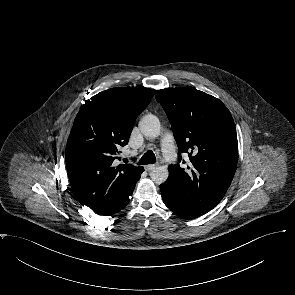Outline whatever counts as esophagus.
Masks as SVG:
<instances>
[{"label": "esophagus", "instance_id": "esophagus-1", "mask_svg": "<svg viewBox=\"0 0 295 295\" xmlns=\"http://www.w3.org/2000/svg\"><path fill=\"white\" fill-rule=\"evenodd\" d=\"M155 167H156V164H149V165L144 166V168H145L146 171H151Z\"/></svg>", "mask_w": 295, "mask_h": 295}]
</instances>
